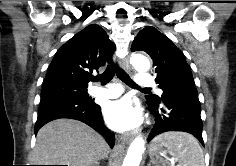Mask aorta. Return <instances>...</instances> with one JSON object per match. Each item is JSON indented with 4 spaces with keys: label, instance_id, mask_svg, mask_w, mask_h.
I'll return each mask as SVG.
<instances>
[{
    "label": "aorta",
    "instance_id": "obj_1",
    "mask_svg": "<svg viewBox=\"0 0 236 166\" xmlns=\"http://www.w3.org/2000/svg\"><path fill=\"white\" fill-rule=\"evenodd\" d=\"M130 62L132 66L139 72L148 71L150 68V61L147 59V57L140 54L133 55ZM144 150V139L142 137L135 138L128 148L122 166H139Z\"/></svg>",
    "mask_w": 236,
    "mask_h": 166
}]
</instances>
